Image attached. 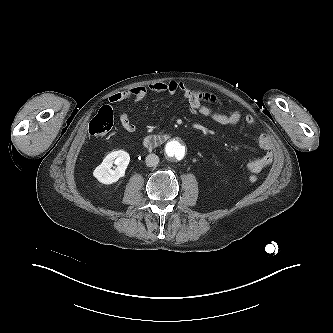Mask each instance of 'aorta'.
<instances>
[{"label": "aorta", "instance_id": "obj_1", "mask_svg": "<svg viewBox=\"0 0 333 333\" xmlns=\"http://www.w3.org/2000/svg\"><path fill=\"white\" fill-rule=\"evenodd\" d=\"M165 152L170 159L180 160L185 154V149L180 142L171 141L166 145Z\"/></svg>", "mask_w": 333, "mask_h": 333}]
</instances>
